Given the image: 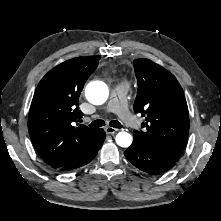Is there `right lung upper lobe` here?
<instances>
[{"mask_svg":"<svg viewBox=\"0 0 221 221\" xmlns=\"http://www.w3.org/2000/svg\"><path fill=\"white\" fill-rule=\"evenodd\" d=\"M100 56L76 57L50 70L39 82L28 116V130L40 157L59 169L91 152L99 129L79 125L80 93ZM78 125V123H77Z\"/></svg>","mask_w":221,"mask_h":221,"instance_id":"obj_1","label":"right lung upper lobe"}]
</instances>
